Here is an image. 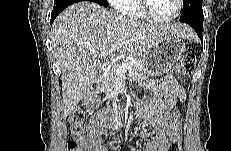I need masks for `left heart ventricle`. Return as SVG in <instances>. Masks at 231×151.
Here are the masks:
<instances>
[{"label":"left heart ventricle","mask_w":231,"mask_h":151,"mask_svg":"<svg viewBox=\"0 0 231 151\" xmlns=\"http://www.w3.org/2000/svg\"><path fill=\"white\" fill-rule=\"evenodd\" d=\"M149 13L156 18H167L176 11V0H147Z\"/></svg>","instance_id":"1"}]
</instances>
